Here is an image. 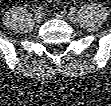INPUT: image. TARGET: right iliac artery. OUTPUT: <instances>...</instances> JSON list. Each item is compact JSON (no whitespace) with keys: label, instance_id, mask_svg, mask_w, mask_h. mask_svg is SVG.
<instances>
[{"label":"right iliac artery","instance_id":"82829eb1","mask_svg":"<svg viewBox=\"0 0 111 106\" xmlns=\"http://www.w3.org/2000/svg\"><path fill=\"white\" fill-rule=\"evenodd\" d=\"M37 9H38L39 12H42L44 10V7L43 6H39V7H37Z\"/></svg>","mask_w":111,"mask_h":106}]
</instances>
